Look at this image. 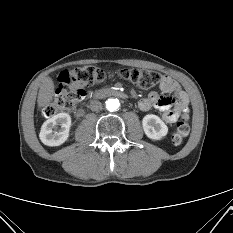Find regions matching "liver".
Returning a JSON list of instances; mask_svg holds the SVG:
<instances>
[{"label": "liver", "instance_id": "liver-1", "mask_svg": "<svg viewBox=\"0 0 233 233\" xmlns=\"http://www.w3.org/2000/svg\"><path fill=\"white\" fill-rule=\"evenodd\" d=\"M54 83L50 77H45L40 85L37 104L38 107L47 106L54 96Z\"/></svg>", "mask_w": 233, "mask_h": 233}]
</instances>
